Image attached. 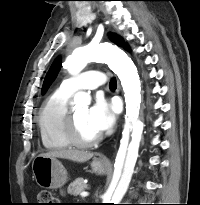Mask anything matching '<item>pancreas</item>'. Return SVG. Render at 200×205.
<instances>
[{
  "label": "pancreas",
  "instance_id": "cf45deb5",
  "mask_svg": "<svg viewBox=\"0 0 200 205\" xmlns=\"http://www.w3.org/2000/svg\"><path fill=\"white\" fill-rule=\"evenodd\" d=\"M87 188L88 186L84 183V179L80 177L68 186V194L77 196Z\"/></svg>",
  "mask_w": 200,
  "mask_h": 205
}]
</instances>
